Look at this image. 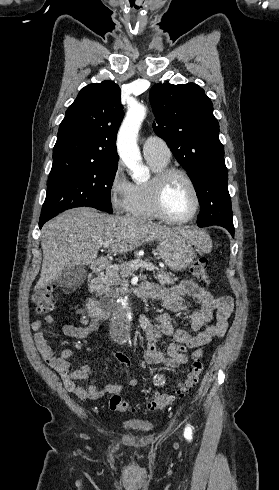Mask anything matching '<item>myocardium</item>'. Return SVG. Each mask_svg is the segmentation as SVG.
<instances>
[{"label":"myocardium","instance_id":"obj_1","mask_svg":"<svg viewBox=\"0 0 279 490\" xmlns=\"http://www.w3.org/2000/svg\"><path fill=\"white\" fill-rule=\"evenodd\" d=\"M174 177L184 178L190 184L194 192V197H195L194 208L191 214L184 219L173 218L168 213L165 205V196L168 190V186ZM153 180H154V190L152 196L153 207L159 218L172 224H184L192 221L196 217L201 205V196L195 180L191 177V175L188 172L177 167H166L158 171L155 174Z\"/></svg>","mask_w":279,"mask_h":490}]
</instances>
